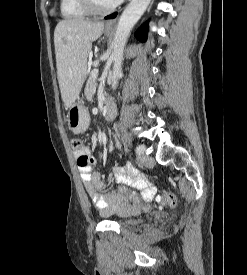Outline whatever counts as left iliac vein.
<instances>
[{"mask_svg":"<svg viewBox=\"0 0 247 275\" xmlns=\"http://www.w3.org/2000/svg\"><path fill=\"white\" fill-rule=\"evenodd\" d=\"M141 147L143 148V150L138 153L139 163L145 167H153L155 164L154 159L150 156L145 155V146L141 145Z\"/></svg>","mask_w":247,"mask_h":275,"instance_id":"left-iliac-vein-1","label":"left iliac vein"}]
</instances>
